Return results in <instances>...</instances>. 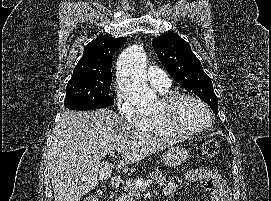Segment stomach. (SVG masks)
<instances>
[{"label":"stomach","mask_w":271,"mask_h":201,"mask_svg":"<svg viewBox=\"0 0 271 201\" xmlns=\"http://www.w3.org/2000/svg\"><path fill=\"white\" fill-rule=\"evenodd\" d=\"M189 157V152L182 146H173L163 154V162L166 166H180Z\"/></svg>","instance_id":"1"}]
</instances>
